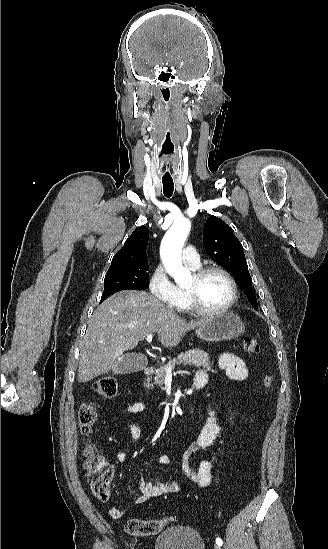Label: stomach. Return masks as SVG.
<instances>
[{
    "label": "stomach",
    "mask_w": 328,
    "mask_h": 549,
    "mask_svg": "<svg viewBox=\"0 0 328 549\" xmlns=\"http://www.w3.org/2000/svg\"><path fill=\"white\" fill-rule=\"evenodd\" d=\"M195 333L202 341H230L245 333V325L236 313L223 311L207 317Z\"/></svg>",
    "instance_id": "0dacf381"
}]
</instances>
